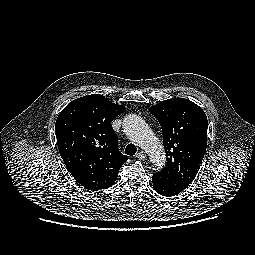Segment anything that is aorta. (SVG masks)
Here are the masks:
<instances>
[{
	"label": "aorta",
	"mask_w": 255,
	"mask_h": 255,
	"mask_svg": "<svg viewBox=\"0 0 255 255\" xmlns=\"http://www.w3.org/2000/svg\"><path fill=\"white\" fill-rule=\"evenodd\" d=\"M123 131L148 154L156 167L161 168L165 164L163 146L142 117L136 114L126 115L123 120Z\"/></svg>",
	"instance_id": "762f6f07"
}]
</instances>
